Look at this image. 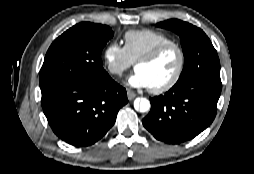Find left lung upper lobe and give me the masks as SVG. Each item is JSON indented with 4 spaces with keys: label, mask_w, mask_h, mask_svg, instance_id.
I'll return each instance as SVG.
<instances>
[{
    "label": "left lung upper lobe",
    "mask_w": 254,
    "mask_h": 174,
    "mask_svg": "<svg viewBox=\"0 0 254 174\" xmlns=\"http://www.w3.org/2000/svg\"><path fill=\"white\" fill-rule=\"evenodd\" d=\"M158 27L173 30L180 36L184 67L175 86L199 79H220V62L207 35L198 27L178 19H169Z\"/></svg>",
    "instance_id": "obj_1"
}]
</instances>
